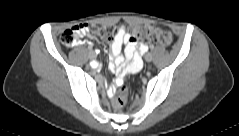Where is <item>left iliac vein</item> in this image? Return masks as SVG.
Wrapping results in <instances>:
<instances>
[{"mask_svg": "<svg viewBox=\"0 0 239 136\" xmlns=\"http://www.w3.org/2000/svg\"><path fill=\"white\" fill-rule=\"evenodd\" d=\"M152 59H153V56H152L151 53H147V54L145 55V60H146L147 62H151Z\"/></svg>", "mask_w": 239, "mask_h": 136, "instance_id": "obj_1", "label": "left iliac vein"}]
</instances>
